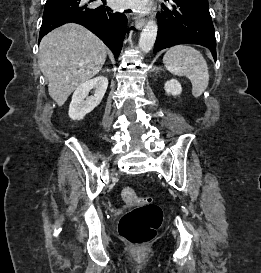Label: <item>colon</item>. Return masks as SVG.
<instances>
[{
    "mask_svg": "<svg viewBox=\"0 0 261 273\" xmlns=\"http://www.w3.org/2000/svg\"><path fill=\"white\" fill-rule=\"evenodd\" d=\"M124 202L136 206L125 213L119 222V234L129 244L143 246L156 235L163 219L161 208L151 202L150 197L138 196L130 186L121 189Z\"/></svg>",
    "mask_w": 261,
    "mask_h": 273,
    "instance_id": "5ec220e1",
    "label": "colon"
}]
</instances>
